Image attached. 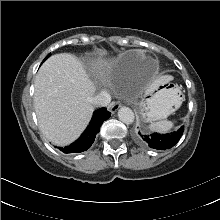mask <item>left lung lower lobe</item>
<instances>
[{"label":"left lung lower lobe","mask_w":220,"mask_h":220,"mask_svg":"<svg viewBox=\"0 0 220 220\" xmlns=\"http://www.w3.org/2000/svg\"><path fill=\"white\" fill-rule=\"evenodd\" d=\"M183 127L171 134H157L147 135L143 132H138L137 140L150 148L165 150L173 147L183 134Z\"/></svg>","instance_id":"left-lung-lower-lobe-1"}]
</instances>
